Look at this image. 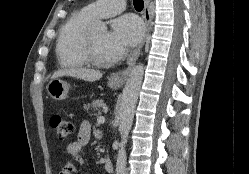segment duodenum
Masks as SVG:
<instances>
[{"label": "duodenum", "instance_id": "duodenum-1", "mask_svg": "<svg viewBox=\"0 0 249 174\" xmlns=\"http://www.w3.org/2000/svg\"><path fill=\"white\" fill-rule=\"evenodd\" d=\"M104 166H105V169L108 173L114 172V165L108 157H105Z\"/></svg>", "mask_w": 249, "mask_h": 174}]
</instances>
